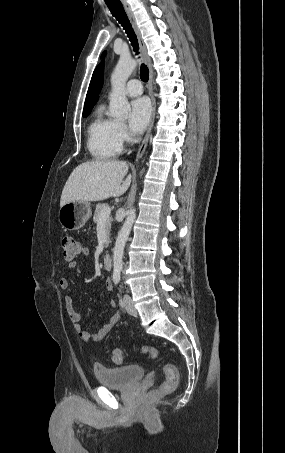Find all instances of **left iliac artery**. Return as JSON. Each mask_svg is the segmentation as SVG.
Segmentation results:
<instances>
[{"instance_id":"obj_1","label":"left iliac artery","mask_w":285,"mask_h":453,"mask_svg":"<svg viewBox=\"0 0 285 453\" xmlns=\"http://www.w3.org/2000/svg\"><path fill=\"white\" fill-rule=\"evenodd\" d=\"M120 305H121V307L123 306V304H122V300H121V299H120Z\"/></svg>"}]
</instances>
